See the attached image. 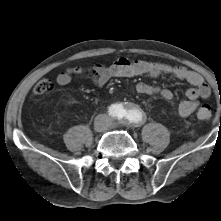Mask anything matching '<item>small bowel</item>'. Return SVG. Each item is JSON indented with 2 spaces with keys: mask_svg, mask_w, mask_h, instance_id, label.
Masks as SVG:
<instances>
[{
  "mask_svg": "<svg viewBox=\"0 0 221 221\" xmlns=\"http://www.w3.org/2000/svg\"><path fill=\"white\" fill-rule=\"evenodd\" d=\"M86 73L90 74L91 81L98 87L104 86L113 78L140 75L156 77L164 74L186 81L192 87L186 89V100L181 101L177 106V113L181 117H188L193 114L199 106V100L208 98L211 95L208 84L195 71L183 66L149 60H131L127 57H119L109 65L96 64L90 69L81 66L69 67L57 75L56 82L60 86H65L71 82L73 76L84 75ZM131 92L134 94L158 95L167 101H171L174 98L171 90L146 83L134 85L131 88Z\"/></svg>",
  "mask_w": 221,
  "mask_h": 221,
  "instance_id": "small-bowel-1",
  "label": "small bowel"
}]
</instances>
